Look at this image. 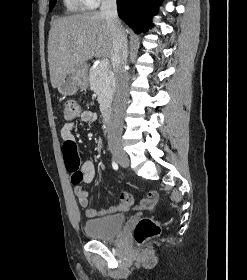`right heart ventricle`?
Listing matches in <instances>:
<instances>
[{"label":"right heart ventricle","instance_id":"obj_1","mask_svg":"<svg viewBox=\"0 0 247 280\" xmlns=\"http://www.w3.org/2000/svg\"><path fill=\"white\" fill-rule=\"evenodd\" d=\"M65 6L68 11L75 12L84 9L83 0H65Z\"/></svg>","mask_w":247,"mask_h":280}]
</instances>
